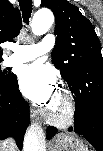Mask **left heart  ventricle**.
I'll return each mask as SVG.
<instances>
[{"mask_svg":"<svg viewBox=\"0 0 103 151\" xmlns=\"http://www.w3.org/2000/svg\"><path fill=\"white\" fill-rule=\"evenodd\" d=\"M62 100L60 96L57 94L56 97L54 98L53 102L50 104V108L56 112L59 113L62 110Z\"/></svg>","mask_w":103,"mask_h":151,"instance_id":"b2bd125f","label":"left heart ventricle"}]
</instances>
